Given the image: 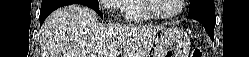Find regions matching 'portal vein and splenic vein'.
I'll return each mask as SVG.
<instances>
[{"mask_svg": "<svg viewBox=\"0 0 249 57\" xmlns=\"http://www.w3.org/2000/svg\"><path fill=\"white\" fill-rule=\"evenodd\" d=\"M119 54V53H118ZM109 56H114L113 54H110Z\"/></svg>", "mask_w": 249, "mask_h": 57, "instance_id": "portal-vein-and-splenic-vein-1", "label": "portal vein and splenic vein"}]
</instances>
